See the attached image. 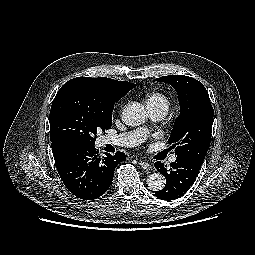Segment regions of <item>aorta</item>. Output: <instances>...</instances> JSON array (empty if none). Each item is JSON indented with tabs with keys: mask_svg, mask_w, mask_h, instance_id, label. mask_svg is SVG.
I'll return each mask as SVG.
<instances>
[{
	"mask_svg": "<svg viewBox=\"0 0 255 255\" xmlns=\"http://www.w3.org/2000/svg\"><path fill=\"white\" fill-rule=\"evenodd\" d=\"M147 118L144 106L138 102L128 103L122 113V121L129 126H139L145 123ZM149 188L160 191L165 187L166 179L161 173H152L147 179Z\"/></svg>",
	"mask_w": 255,
	"mask_h": 255,
	"instance_id": "obj_1",
	"label": "aorta"
}]
</instances>
